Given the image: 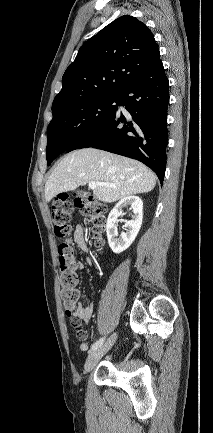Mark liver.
Segmentation results:
<instances>
[{
	"instance_id": "obj_1",
	"label": "liver",
	"mask_w": 213,
	"mask_h": 433,
	"mask_svg": "<svg viewBox=\"0 0 213 433\" xmlns=\"http://www.w3.org/2000/svg\"><path fill=\"white\" fill-rule=\"evenodd\" d=\"M92 181L109 184L97 186L93 193L96 199L112 203L150 192L156 176L134 159L94 148L79 149L66 155L51 173L45 184V199L50 202L57 194Z\"/></svg>"
}]
</instances>
